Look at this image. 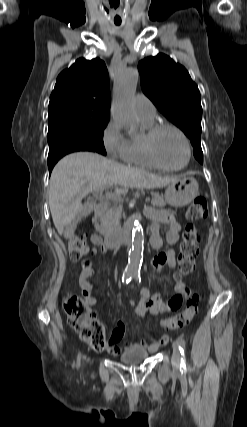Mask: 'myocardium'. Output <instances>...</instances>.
Instances as JSON below:
<instances>
[{"label":"myocardium","mask_w":247,"mask_h":427,"mask_svg":"<svg viewBox=\"0 0 247 427\" xmlns=\"http://www.w3.org/2000/svg\"><path fill=\"white\" fill-rule=\"evenodd\" d=\"M164 129H172L174 130L183 140L185 149H186V159L185 162L179 166V167H169L164 164H162L159 159L157 158V155L155 153V139L157 135ZM143 146L145 153L148 157V159L151 161V163L156 167L164 171H171L176 172L185 169L191 159V145L190 141L187 137V135L184 133V131L179 128L177 125L170 123V122H162V123H154L151 127H149L146 132L143 135Z\"/></svg>","instance_id":"1"}]
</instances>
